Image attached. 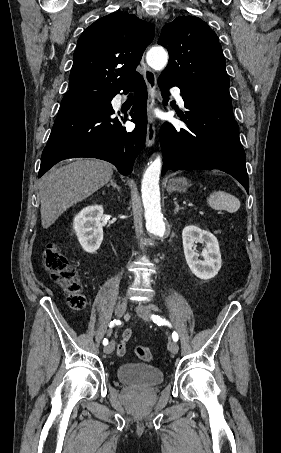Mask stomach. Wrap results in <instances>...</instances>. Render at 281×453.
<instances>
[{
  "label": "stomach",
  "mask_w": 281,
  "mask_h": 453,
  "mask_svg": "<svg viewBox=\"0 0 281 453\" xmlns=\"http://www.w3.org/2000/svg\"><path fill=\"white\" fill-rule=\"evenodd\" d=\"M188 186H190V184H188L186 178H170V180H168L167 188L170 192H174V190H176V192H185Z\"/></svg>",
  "instance_id": "stomach-1"
}]
</instances>
